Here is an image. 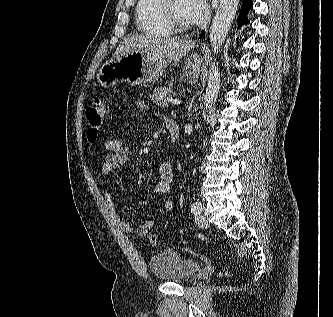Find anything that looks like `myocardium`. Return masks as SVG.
Masks as SVG:
<instances>
[{"mask_svg":"<svg viewBox=\"0 0 333 317\" xmlns=\"http://www.w3.org/2000/svg\"><path fill=\"white\" fill-rule=\"evenodd\" d=\"M175 0H158V13L162 23L178 35H186L193 31V26L185 27L178 24L173 17V3Z\"/></svg>","mask_w":333,"mask_h":317,"instance_id":"1","label":"myocardium"}]
</instances>
